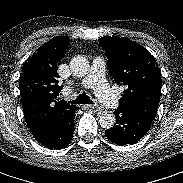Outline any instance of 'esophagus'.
<instances>
[{"instance_id": "34e87169", "label": "esophagus", "mask_w": 183, "mask_h": 183, "mask_svg": "<svg viewBox=\"0 0 183 183\" xmlns=\"http://www.w3.org/2000/svg\"><path fill=\"white\" fill-rule=\"evenodd\" d=\"M84 108L87 110L94 111L95 113H98V114L103 111L102 107H100L98 105L87 104V105H84Z\"/></svg>"}]
</instances>
